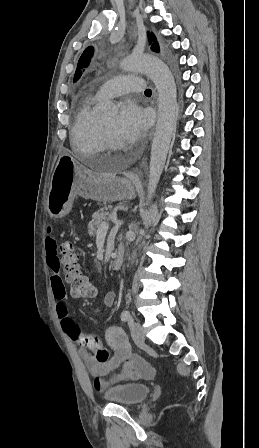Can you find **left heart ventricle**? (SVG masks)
<instances>
[{
  "instance_id": "1",
  "label": "left heart ventricle",
  "mask_w": 259,
  "mask_h": 448,
  "mask_svg": "<svg viewBox=\"0 0 259 448\" xmlns=\"http://www.w3.org/2000/svg\"><path fill=\"white\" fill-rule=\"evenodd\" d=\"M110 133L112 140L120 146L123 142L124 136L118 131L116 126L117 115L107 117L100 120Z\"/></svg>"
}]
</instances>
